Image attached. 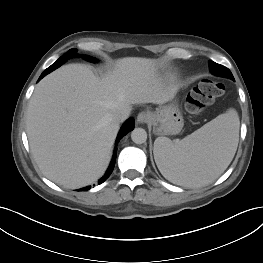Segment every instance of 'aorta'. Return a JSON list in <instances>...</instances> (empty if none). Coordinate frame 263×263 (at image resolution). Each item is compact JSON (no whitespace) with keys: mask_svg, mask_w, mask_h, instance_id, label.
Returning <instances> with one entry per match:
<instances>
[{"mask_svg":"<svg viewBox=\"0 0 263 263\" xmlns=\"http://www.w3.org/2000/svg\"><path fill=\"white\" fill-rule=\"evenodd\" d=\"M131 139L136 144H143L147 140V132L143 128H135L131 132Z\"/></svg>","mask_w":263,"mask_h":263,"instance_id":"aorta-1","label":"aorta"}]
</instances>
